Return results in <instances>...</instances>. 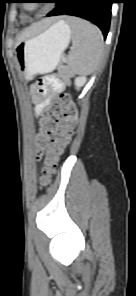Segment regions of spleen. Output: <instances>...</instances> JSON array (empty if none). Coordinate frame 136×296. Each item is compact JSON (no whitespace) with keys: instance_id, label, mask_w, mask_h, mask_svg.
<instances>
[{"instance_id":"1","label":"spleen","mask_w":136,"mask_h":296,"mask_svg":"<svg viewBox=\"0 0 136 296\" xmlns=\"http://www.w3.org/2000/svg\"><path fill=\"white\" fill-rule=\"evenodd\" d=\"M68 23L72 29L68 67L75 74L89 75L96 70L103 53L102 33L98 27L82 19L70 17Z\"/></svg>"}]
</instances>
